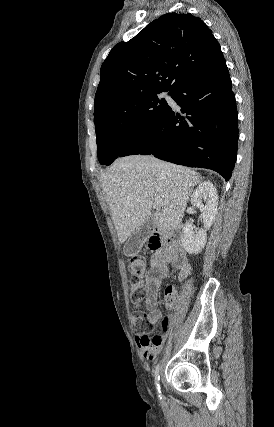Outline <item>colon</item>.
<instances>
[{
    "instance_id": "5ec220e1",
    "label": "colon",
    "mask_w": 274,
    "mask_h": 427,
    "mask_svg": "<svg viewBox=\"0 0 274 427\" xmlns=\"http://www.w3.org/2000/svg\"><path fill=\"white\" fill-rule=\"evenodd\" d=\"M138 261L137 256H132L130 258V266L134 265ZM146 267L145 265L143 266ZM139 280L137 278H133L130 281V290L132 292V302L137 307L141 304L143 300V295L138 291ZM164 294L167 298H171L173 296V288L172 286H166ZM131 318L135 331L142 332L147 334V339H151V358H152V337L150 336L152 330L154 329V323L146 314L142 313L138 309H134L131 313Z\"/></svg>"
}]
</instances>
